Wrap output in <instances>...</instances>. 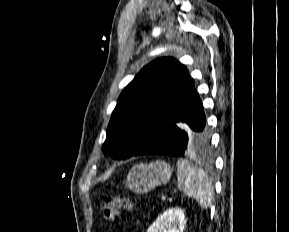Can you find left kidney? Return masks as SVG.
Here are the masks:
<instances>
[{
  "mask_svg": "<svg viewBox=\"0 0 289 232\" xmlns=\"http://www.w3.org/2000/svg\"><path fill=\"white\" fill-rule=\"evenodd\" d=\"M186 223L184 210L171 208L158 216L147 232H183Z\"/></svg>",
  "mask_w": 289,
  "mask_h": 232,
  "instance_id": "1",
  "label": "left kidney"
}]
</instances>
